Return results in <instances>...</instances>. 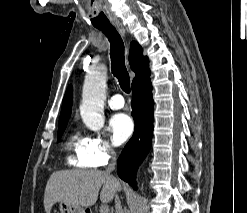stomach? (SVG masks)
<instances>
[{
  "instance_id": "obj_1",
  "label": "stomach",
  "mask_w": 247,
  "mask_h": 213,
  "mask_svg": "<svg viewBox=\"0 0 247 213\" xmlns=\"http://www.w3.org/2000/svg\"><path fill=\"white\" fill-rule=\"evenodd\" d=\"M60 213H88L87 209L81 206L67 204L64 202L59 203Z\"/></svg>"
}]
</instances>
